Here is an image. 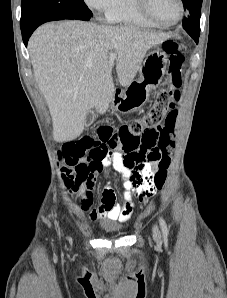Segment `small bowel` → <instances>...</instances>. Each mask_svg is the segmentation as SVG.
Segmentation results:
<instances>
[{
    "mask_svg": "<svg viewBox=\"0 0 227 298\" xmlns=\"http://www.w3.org/2000/svg\"><path fill=\"white\" fill-rule=\"evenodd\" d=\"M150 109V104L144 105ZM161 129L160 125L156 126ZM95 134H82V139L73 142H61L57 157L62 160L67 169L63 172L65 185L73 190H85L84 204L88 209L91 202V189L94 187L98 175L103 169H109L107 185L102 190L100 205L89 210L88 217L92 221L111 219L127 221L134 211V198L141 202L154 195L151 190L154 178L150 173H157L160 169L158 161L151 160L141 151L109 150L108 142H93ZM84 158H100L87 159ZM123 182V206L116 200L112 182L117 178Z\"/></svg>",
    "mask_w": 227,
    "mask_h": 298,
    "instance_id": "c3829d8e",
    "label": "small bowel"
}]
</instances>
